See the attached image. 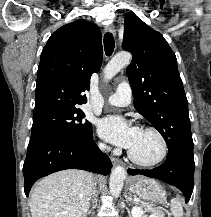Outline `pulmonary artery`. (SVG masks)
<instances>
[{
    "label": "pulmonary artery",
    "mask_w": 211,
    "mask_h": 217,
    "mask_svg": "<svg viewBox=\"0 0 211 217\" xmlns=\"http://www.w3.org/2000/svg\"><path fill=\"white\" fill-rule=\"evenodd\" d=\"M132 99L131 86L128 82H121L118 84L114 94L110 95L106 102L109 105L117 107L129 106Z\"/></svg>",
    "instance_id": "1"
}]
</instances>
